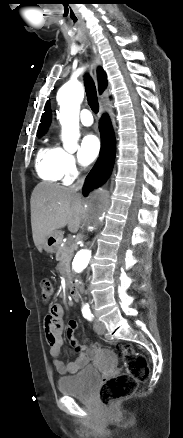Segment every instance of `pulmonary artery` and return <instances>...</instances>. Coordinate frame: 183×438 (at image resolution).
Masks as SVG:
<instances>
[{
    "label": "pulmonary artery",
    "mask_w": 183,
    "mask_h": 438,
    "mask_svg": "<svg viewBox=\"0 0 183 438\" xmlns=\"http://www.w3.org/2000/svg\"><path fill=\"white\" fill-rule=\"evenodd\" d=\"M80 120L83 125L90 126L93 123L91 111L88 109H83L80 113Z\"/></svg>",
    "instance_id": "pulmonary-artery-1"
}]
</instances>
